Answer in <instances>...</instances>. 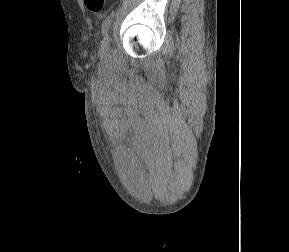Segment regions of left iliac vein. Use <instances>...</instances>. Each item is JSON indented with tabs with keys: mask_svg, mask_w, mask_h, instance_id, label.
Returning a JSON list of instances; mask_svg holds the SVG:
<instances>
[{
	"mask_svg": "<svg viewBox=\"0 0 289 252\" xmlns=\"http://www.w3.org/2000/svg\"><path fill=\"white\" fill-rule=\"evenodd\" d=\"M109 44H110L109 34H105L100 44V51L101 52L106 51L109 47Z\"/></svg>",
	"mask_w": 289,
	"mask_h": 252,
	"instance_id": "left-iliac-vein-1",
	"label": "left iliac vein"
}]
</instances>
